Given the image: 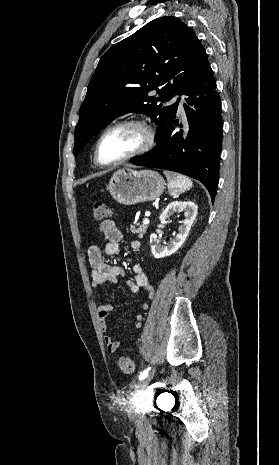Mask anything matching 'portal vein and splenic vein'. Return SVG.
<instances>
[{
  "instance_id": "1",
  "label": "portal vein and splenic vein",
  "mask_w": 279,
  "mask_h": 465,
  "mask_svg": "<svg viewBox=\"0 0 279 465\" xmlns=\"http://www.w3.org/2000/svg\"><path fill=\"white\" fill-rule=\"evenodd\" d=\"M143 224H146V225L149 224V219H148V218H145V219L143 220Z\"/></svg>"
}]
</instances>
